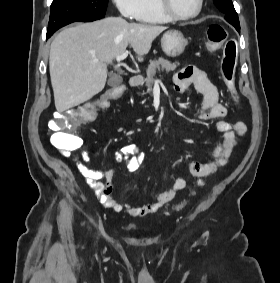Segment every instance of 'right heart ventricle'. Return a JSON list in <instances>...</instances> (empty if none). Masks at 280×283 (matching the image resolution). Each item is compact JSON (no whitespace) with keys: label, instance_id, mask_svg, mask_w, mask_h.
Instances as JSON below:
<instances>
[{"label":"right heart ventricle","instance_id":"e07e8e85","mask_svg":"<svg viewBox=\"0 0 280 283\" xmlns=\"http://www.w3.org/2000/svg\"><path fill=\"white\" fill-rule=\"evenodd\" d=\"M141 11L137 20L144 24H162L171 21L159 9L157 0H141Z\"/></svg>","mask_w":280,"mask_h":283}]
</instances>
